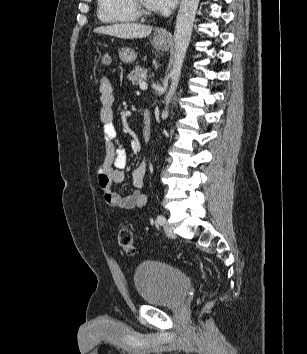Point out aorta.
<instances>
[{
    "label": "aorta",
    "instance_id": "obj_1",
    "mask_svg": "<svg viewBox=\"0 0 307 354\" xmlns=\"http://www.w3.org/2000/svg\"><path fill=\"white\" fill-rule=\"evenodd\" d=\"M198 4L199 0H181L180 3L174 31L175 53L169 74L171 86L165 96V109L162 112L163 119L168 117V107L179 83L182 65L191 40Z\"/></svg>",
    "mask_w": 307,
    "mask_h": 354
}]
</instances>
